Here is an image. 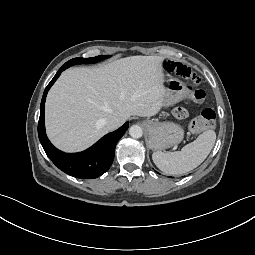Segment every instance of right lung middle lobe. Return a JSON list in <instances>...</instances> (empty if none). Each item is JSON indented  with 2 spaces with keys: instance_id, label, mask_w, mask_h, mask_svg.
<instances>
[{
  "instance_id": "right-lung-middle-lobe-1",
  "label": "right lung middle lobe",
  "mask_w": 255,
  "mask_h": 255,
  "mask_svg": "<svg viewBox=\"0 0 255 255\" xmlns=\"http://www.w3.org/2000/svg\"><path fill=\"white\" fill-rule=\"evenodd\" d=\"M108 57H110V56L109 55H99L97 57H91V58L78 57V58L71 59L66 63L71 65V66L75 65V64H91V63L99 62V61H101L105 58H108Z\"/></svg>"
}]
</instances>
